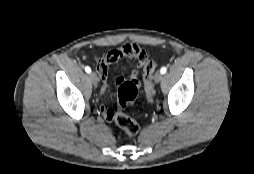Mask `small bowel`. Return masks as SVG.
Segmentation results:
<instances>
[{"label":"small bowel","mask_w":254,"mask_h":174,"mask_svg":"<svg viewBox=\"0 0 254 174\" xmlns=\"http://www.w3.org/2000/svg\"><path fill=\"white\" fill-rule=\"evenodd\" d=\"M123 59H132L136 61L137 68L132 71L130 81L136 83L137 85L140 83L139 68L146 62L147 53L144 49L137 45H123L112 51H109L97 61V70L103 82V87L101 91L102 96H106L108 68L112 64H115ZM125 81V78L122 76H118L115 79V83L118 86L123 84ZM100 111L106 120H112L114 112L111 109L102 105L100 107Z\"/></svg>","instance_id":"c3829d8e"}]
</instances>
